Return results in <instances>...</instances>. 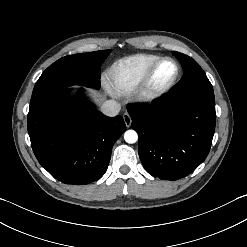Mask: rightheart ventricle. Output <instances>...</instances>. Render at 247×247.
Segmentation results:
<instances>
[{
	"label": "right heart ventricle",
	"instance_id": "1",
	"mask_svg": "<svg viewBox=\"0 0 247 247\" xmlns=\"http://www.w3.org/2000/svg\"><path fill=\"white\" fill-rule=\"evenodd\" d=\"M159 58L155 54H136L117 60L108 70L110 84L120 94L132 92Z\"/></svg>",
	"mask_w": 247,
	"mask_h": 247
}]
</instances>
